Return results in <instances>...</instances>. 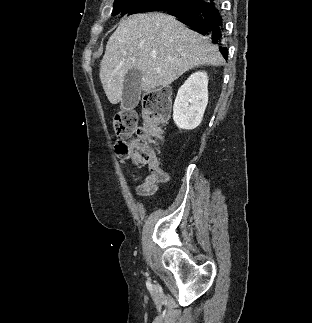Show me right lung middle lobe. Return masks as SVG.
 Returning <instances> with one entry per match:
<instances>
[{"label": "right lung middle lobe", "mask_w": 312, "mask_h": 323, "mask_svg": "<svg viewBox=\"0 0 312 323\" xmlns=\"http://www.w3.org/2000/svg\"><path fill=\"white\" fill-rule=\"evenodd\" d=\"M189 0H115L112 15L165 11L183 6Z\"/></svg>", "instance_id": "1"}]
</instances>
